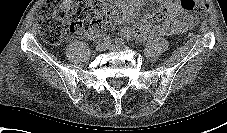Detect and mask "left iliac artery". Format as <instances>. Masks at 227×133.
I'll use <instances>...</instances> for the list:
<instances>
[{
    "instance_id": "44dca946",
    "label": "left iliac artery",
    "mask_w": 227,
    "mask_h": 133,
    "mask_svg": "<svg viewBox=\"0 0 227 133\" xmlns=\"http://www.w3.org/2000/svg\"><path fill=\"white\" fill-rule=\"evenodd\" d=\"M115 43L116 44H124L125 43V40L121 37H118L115 39Z\"/></svg>"
}]
</instances>
